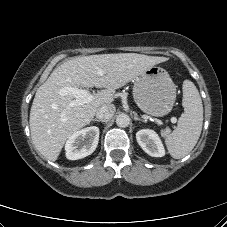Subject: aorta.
Here are the masks:
<instances>
[{"instance_id": "762f6f07", "label": "aorta", "mask_w": 227, "mask_h": 227, "mask_svg": "<svg viewBox=\"0 0 227 227\" xmlns=\"http://www.w3.org/2000/svg\"><path fill=\"white\" fill-rule=\"evenodd\" d=\"M116 124L121 128H125L130 124V117L125 113H121L116 117Z\"/></svg>"}]
</instances>
